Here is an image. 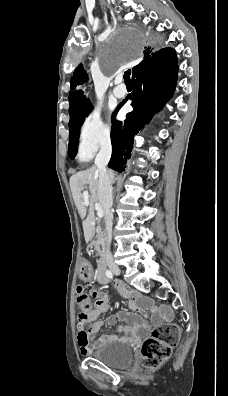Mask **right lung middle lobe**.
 I'll use <instances>...</instances> for the list:
<instances>
[{
	"label": "right lung middle lobe",
	"mask_w": 228,
	"mask_h": 396,
	"mask_svg": "<svg viewBox=\"0 0 228 396\" xmlns=\"http://www.w3.org/2000/svg\"><path fill=\"white\" fill-rule=\"evenodd\" d=\"M92 106H89L88 108L79 111L73 115L70 116V121H69V128H70V134H69V148H68V155L71 159H73L76 155V150H77V145H78V139H79V133H80V127L85 119V117L91 112Z\"/></svg>",
	"instance_id": "dd1d6c3e"
}]
</instances>
